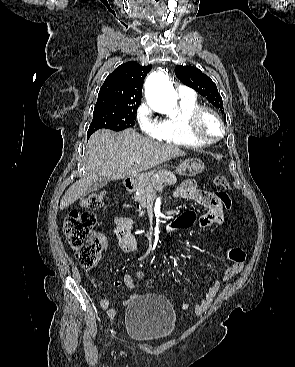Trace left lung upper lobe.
<instances>
[{
    "mask_svg": "<svg viewBox=\"0 0 295 367\" xmlns=\"http://www.w3.org/2000/svg\"><path fill=\"white\" fill-rule=\"evenodd\" d=\"M175 74L183 84L193 88L215 107L220 108L222 113L224 112L223 101L216 84L201 70L193 66L179 65L175 68Z\"/></svg>",
    "mask_w": 295,
    "mask_h": 367,
    "instance_id": "5c2ea615",
    "label": "left lung upper lobe"
}]
</instances>
